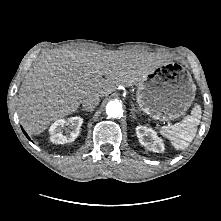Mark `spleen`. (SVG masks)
Here are the masks:
<instances>
[{"instance_id": "obj_1", "label": "spleen", "mask_w": 221, "mask_h": 221, "mask_svg": "<svg viewBox=\"0 0 221 221\" xmlns=\"http://www.w3.org/2000/svg\"><path fill=\"white\" fill-rule=\"evenodd\" d=\"M201 117V107L197 105L191 115L186 116L181 122L173 126H163L160 128V133L165 138L169 139L177 150H183L193 141L197 126Z\"/></svg>"}]
</instances>
